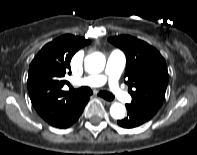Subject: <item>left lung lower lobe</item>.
I'll return each mask as SVG.
<instances>
[{"label": "left lung lower lobe", "instance_id": "0a47b994", "mask_svg": "<svg viewBox=\"0 0 197 155\" xmlns=\"http://www.w3.org/2000/svg\"><path fill=\"white\" fill-rule=\"evenodd\" d=\"M126 108L128 110L127 117L117 121L118 125L123 128L138 127L151 119V117L147 116L130 104H126Z\"/></svg>", "mask_w": 197, "mask_h": 155}]
</instances>
